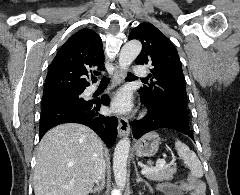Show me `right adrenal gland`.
I'll return each instance as SVG.
<instances>
[{
    "mask_svg": "<svg viewBox=\"0 0 240 195\" xmlns=\"http://www.w3.org/2000/svg\"><path fill=\"white\" fill-rule=\"evenodd\" d=\"M105 181H101L99 185H95L93 189H90L91 193H101L102 189H104Z\"/></svg>",
    "mask_w": 240,
    "mask_h": 195,
    "instance_id": "obj_1",
    "label": "right adrenal gland"
}]
</instances>
